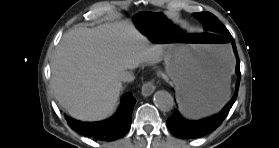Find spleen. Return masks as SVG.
<instances>
[{
  "instance_id": "3e777b00",
  "label": "spleen",
  "mask_w": 279,
  "mask_h": 148,
  "mask_svg": "<svg viewBox=\"0 0 279 148\" xmlns=\"http://www.w3.org/2000/svg\"><path fill=\"white\" fill-rule=\"evenodd\" d=\"M221 55H222L223 59L226 60L227 59V50H222ZM229 87H230V80H227V82L225 84V87H224V90H223V94L226 96V100H227V98L229 97V94H230Z\"/></svg>"
}]
</instances>
